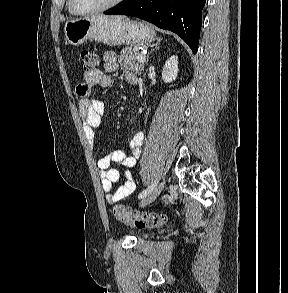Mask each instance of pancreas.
Masks as SVG:
<instances>
[{
  "label": "pancreas",
  "instance_id": "obj_1",
  "mask_svg": "<svg viewBox=\"0 0 288 293\" xmlns=\"http://www.w3.org/2000/svg\"><path fill=\"white\" fill-rule=\"evenodd\" d=\"M138 55L139 53L137 47L124 48L120 53L118 63L135 73L141 74L144 69V64L137 60Z\"/></svg>",
  "mask_w": 288,
  "mask_h": 293
}]
</instances>
